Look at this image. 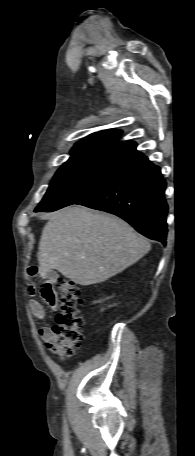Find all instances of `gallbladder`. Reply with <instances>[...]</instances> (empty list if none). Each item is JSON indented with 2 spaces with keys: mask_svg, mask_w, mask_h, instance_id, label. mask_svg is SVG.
Instances as JSON below:
<instances>
[{
  "mask_svg": "<svg viewBox=\"0 0 195 456\" xmlns=\"http://www.w3.org/2000/svg\"><path fill=\"white\" fill-rule=\"evenodd\" d=\"M46 278L50 280L51 282H55L58 278L57 274L55 272L50 271L47 275Z\"/></svg>",
  "mask_w": 195,
  "mask_h": 456,
  "instance_id": "gallbladder-1",
  "label": "gallbladder"
}]
</instances>
